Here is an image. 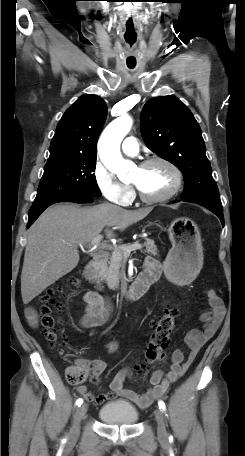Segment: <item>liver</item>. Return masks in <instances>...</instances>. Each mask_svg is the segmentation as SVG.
Wrapping results in <instances>:
<instances>
[{"mask_svg":"<svg viewBox=\"0 0 245 456\" xmlns=\"http://www.w3.org/2000/svg\"><path fill=\"white\" fill-rule=\"evenodd\" d=\"M151 211V207L127 210L110 203L49 207L28 230L21 274L23 303L28 304L78 265V245L90 243L104 227L123 230ZM105 233L107 238L115 236L109 229Z\"/></svg>","mask_w":245,"mask_h":456,"instance_id":"1","label":"liver"}]
</instances>
